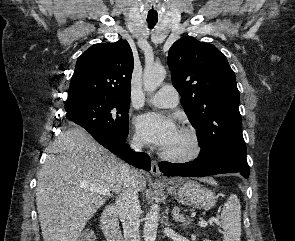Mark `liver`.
<instances>
[{
  "label": "liver",
  "instance_id": "obj_1",
  "mask_svg": "<svg viewBox=\"0 0 295 241\" xmlns=\"http://www.w3.org/2000/svg\"><path fill=\"white\" fill-rule=\"evenodd\" d=\"M48 153L36 188L43 240L77 241L87 222L109 197L83 185L96 184L110 194H119V167L123 163L80 128L61 133ZM135 181L138 191L146 187L141 173L137 172Z\"/></svg>",
  "mask_w": 295,
  "mask_h": 241
}]
</instances>
